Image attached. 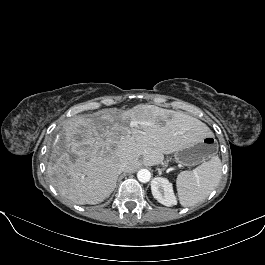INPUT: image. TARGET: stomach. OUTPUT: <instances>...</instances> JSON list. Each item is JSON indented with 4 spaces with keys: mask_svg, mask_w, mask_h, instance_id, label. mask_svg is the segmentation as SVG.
<instances>
[{
    "mask_svg": "<svg viewBox=\"0 0 265 265\" xmlns=\"http://www.w3.org/2000/svg\"><path fill=\"white\" fill-rule=\"evenodd\" d=\"M216 150V143L211 136H205L199 141L188 142L175 151V159L184 166L198 165L211 158Z\"/></svg>",
    "mask_w": 265,
    "mask_h": 265,
    "instance_id": "1",
    "label": "stomach"
}]
</instances>
